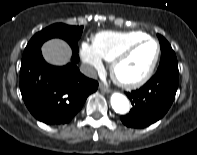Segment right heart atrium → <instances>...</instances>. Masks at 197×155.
Returning a JSON list of instances; mask_svg holds the SVG:
<instances>
[{"instance_id": "obj_1", "label": "right heart atrium", "mask_w": 197, "mask_h": 155, "mask_svg": "<svg viewBox=\"0 0 197 155\" xmlns=\"http://www.w3.org/2000/svg\"><path fill=\"white\" fill-rule=\"evenodd\" d=\"M80 56L89 67L95 69L102 68V59L94 49L93 45L83 42L80 46Z\"/></svg>"}]
</instances>
